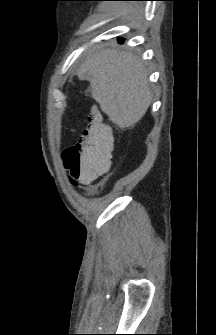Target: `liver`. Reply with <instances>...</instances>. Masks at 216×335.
I'll use <instances>...</instances> for the list:
<instances>
[{
  "label": "liver",
  "instance_id": "6515ba94",
  "mask_svg": "<svg viewBox=\"0 0 216 335\" xmlns=\"http://www.w3.org/2000/svg\"><path fill=\"white\" fill-rule=\"evenodd\" d=\"M89 78L92 97L119 128L134 126L151 104L148 73L139 57L116 49H95L77 71Z\"/></svg>",
  "mask_w": 216,
  "mask_h": 335
}]
</instances>
